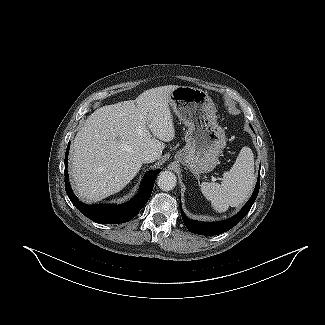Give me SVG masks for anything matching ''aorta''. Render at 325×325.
Masks as SVG:
<instances>
[{"mask_svg":"<svg viewBox=\"0 0 325 325\" xmlns=\"http://www.w3.org/2000/svg\"><path fill=\"white\" fill-rule=\"evenodd\" d=\"M177 179L171 171H162L157 177L158 187L163 191H170L175 188Z\"/></svg>","mask_w":325,"mask_h":325,"instance_id":"obj_1","label":"aorta"}]
</instances>
